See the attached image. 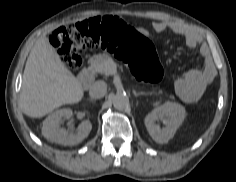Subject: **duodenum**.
I'll use <instances>...</instances> for the list:
<instances>
[{
  "instance_id": "obj_1",
  "label": "duodenum",
  "mask_w": 236,
  "mask_h": 182,
  "mask_svg": "<svg viewBox=\"0 0 236 182\" xmlns=\"http://www.w3.org/2000/svg\"><path fill=\"white\" fill-rule=\"evenodd\" d=\"M94 81V74L92 72V70L90 69H86L85 71H83L82 73V77H81V85L84 88H88L92 85Z\"/></svg>"
}]
</instances>
